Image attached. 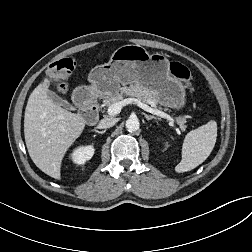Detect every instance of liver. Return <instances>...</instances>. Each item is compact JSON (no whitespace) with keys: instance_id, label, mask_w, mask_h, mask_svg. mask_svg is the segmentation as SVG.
<instances>
[{"instance_id":"1","label":"liver","mask_w":252,"mask_h":252,"mask_svg":"<svg viewBox=\"0 0 252 252\" xmlns=\"http://www.w3.org/2000/svg\"><path fill=\"white\" fill-rule=\"evenodd\" d=\"M45 81L31 93L24 115V135L34 164L52 178H61L62 159L82 134L86 121L55 104Z\"/></svg>"}]
</instances>
